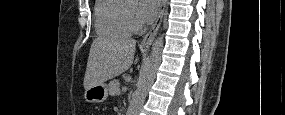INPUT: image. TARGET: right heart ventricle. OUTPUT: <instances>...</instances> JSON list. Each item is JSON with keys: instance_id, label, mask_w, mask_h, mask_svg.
<instances>
[{"instance_id": "obj_1", "label": "right heart ventricle", "mask_w": 285, "mask_h": 115, "mask_svg": "<svg viewBox=\"0 0 285 115\" xmlns=\"http://www.w3.org/2000/svg\"><path fill=\"white\" fill-rule=\"evenodd\" d=\"M95 30L101 37L130 35L135 26L122 0H99L94 9Z\"/></svg>"}]
</instances>
